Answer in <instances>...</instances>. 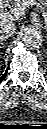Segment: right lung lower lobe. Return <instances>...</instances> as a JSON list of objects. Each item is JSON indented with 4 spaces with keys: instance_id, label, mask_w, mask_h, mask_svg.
<instances>
[{
    "instance_id": "1",
    "label": "right lung lower lobe",
    "mask_w": 47,
    "mask_h": 129,
    "mask_svg": "<svg viewBox=\"0 0 47 129\" xmlns=\"http://www.w3.org/2000/svg\"><path fill=\"white\" fill-rule=\"evenodd\" d=\"M8 69L6 70L5 74L0 78V81H2L7 73Z\"/></svg>"
}]
</instances>
